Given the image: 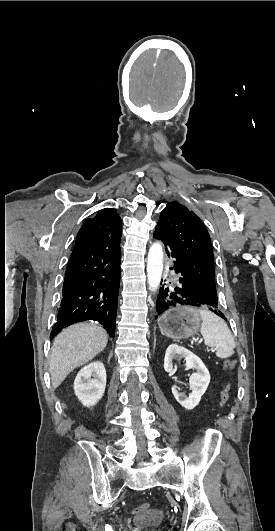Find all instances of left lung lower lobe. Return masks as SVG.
<instances>
[{
    "instance_id": "0a47b994",
    "label": "left lung lower lobe",
    "mask_w": 275,
    "mask_h": 531,
    "mask_svg": "<svg viewBox=\"0 0 275 531\" xmlns=\"http://www.w3.org/2000/svg\"><path fill=\"white\" fill-rule=\"evenodd\" d=\"M153 237L158 240H161L164 243L168 256L174 259L173 267H171L170 269L174 270L175 273L178 274L177 285L175 287L170 288L165 286V284L160 287L155 307L157 316L162 315L166 310L170 308L181 305H189L208 308L210 311L214 312L215 314L226 320L223 313H221L217 309V306L205 302L203 299L198 297L187 284L184 273L182 271L181 262L176 252L174 251L171 243L165 238L159 227L155 228Z\"/></svg>"
}]
</instances>
